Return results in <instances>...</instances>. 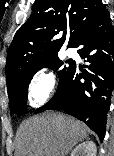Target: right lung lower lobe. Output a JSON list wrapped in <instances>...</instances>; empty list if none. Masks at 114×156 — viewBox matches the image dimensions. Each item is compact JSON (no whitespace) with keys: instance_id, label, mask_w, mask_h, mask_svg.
Listing matches in <instances>:
<instances>
[{"instance_id":"1","label":"right lung lower lobe","mask_w":114,"mask_h":156,"mask_svg":"<svg viewBox=\"0 0 114 156\" xmlns=\"http://www.w3.org/2000/svg\"><path fill=\"white\" fill-rule=\"evenodd\" d=\"M73 47H80L78 53L87 58V70L73 62L63 89L47 109L62 110L85 122L102 141L114 89V28L107 9L78 36Z\"/></svg>"}]
</instances>
